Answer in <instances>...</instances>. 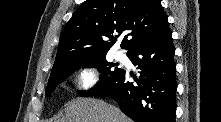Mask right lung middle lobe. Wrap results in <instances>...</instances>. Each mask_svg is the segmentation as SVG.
Wrapping results in <instances>:
<instances>
[{"label":"right lung middle lobe","instance_id":"obj_1","mask_svg":"<svg viewBox=\"0 0 221 122\" xmlns=\"http://www.w3.org/2000/svg\"><path fill=\"white\" fill-rule=\"evenodd\" d=\"M96 67L102 73L99 82L88 92L86 91H78V95L86 97L88 95H93L103 89H105L110 82L116 78L120 72L123 70L121 68L115 67L114 64H111L106 61L105 56L96 57L87 61H83L77 64H73L68 66L67 68L51 75L48 81V85L46 88L45 96L50 95L56 86L61 83L72 71L77 69L78 67Z\"/></svg>","mask_w":221,"mask_h":122}]
</instances>
